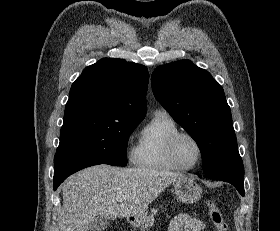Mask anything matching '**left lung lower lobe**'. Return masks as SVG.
<instances>
[{
  "instance_id": "left-lung-lower-lobe-1",
  "label": "left lung lower lobe",
  "mask_w": 280,
  "mask_h": 231,
  "mask_svg": "<svg viewBox=\"0 0 280 231\" xmlns=\"http://www.w3.org/2000/svg\"><path fill=\"white\" fill-rule=\"evenodd\" d=\"M209 179L228 182L244 196V166L240 155L227 159L204 174Z\"/></svg>"
}]
</instances>
